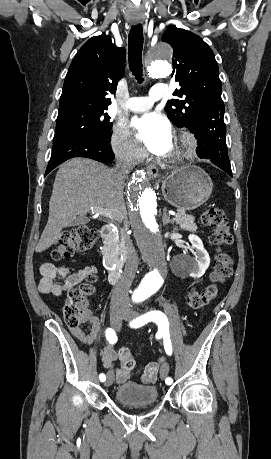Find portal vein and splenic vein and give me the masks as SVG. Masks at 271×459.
<instances>
[{
	"mask_svg": "<svg viewBox=\"0 0 271 459\" xmlns=\"http://www.w3.org/2000/svg\"><path fill=\"white\" fill-rule=\"evenodd\" d=\"M92 214H97V216H103V218H111L113 210H107V208H91ZM175 217H181L180 212H176Z\"/></svg>",
	"mask_w": 271,
	"mask_h": 459,
	"instance_id": "obj_1",
	"label": "portal vein and splenic vein"
}]
</instances>
